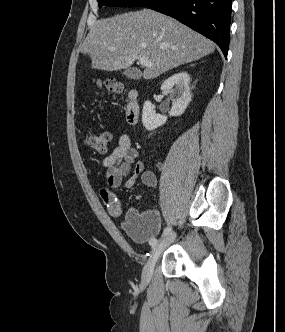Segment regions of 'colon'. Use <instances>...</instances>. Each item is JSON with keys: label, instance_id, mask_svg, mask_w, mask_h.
Listing matches in <instances>:
<instances>
[{"label": "colon", "instance_id": "1", "mask_svg": "<svg viewBox=\"0 0 285 332\" xmlns=\"http://www.w3.org/2000/svg\"><path fill=\"white\" fill-rule=\"evenodd\" d=\"M100 86L109 94L118 96L124 93L123 85L115 80H107L100 84ZM86 145L100 153H104L110 141V134L107 131L94 132L86 137Z\"/></svg>", "mask_w": 285, "mask_h": 332}]
</instances>
